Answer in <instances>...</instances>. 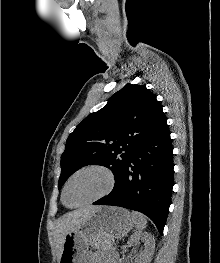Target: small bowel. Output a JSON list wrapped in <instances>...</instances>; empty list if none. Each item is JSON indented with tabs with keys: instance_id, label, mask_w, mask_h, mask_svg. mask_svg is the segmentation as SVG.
<instances>
[{
	"instance_id": "obj_1",
	"label": "small bowel",
	"mask_w": 220,
	"mask_h": 263,
	"mask_svg": "<svg viewBox=\"0 0 220 263\" xmlns=\"http://www.w3.org/2000/svg\"><path fill=\"white\" fill-rule=\"evenodd\" d=\"M84 263H99L93 254H89Z\"/></svg>"
}]
</instances>
